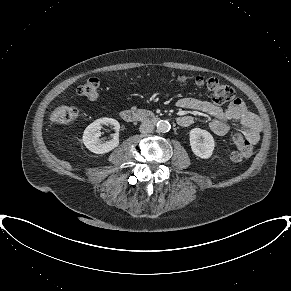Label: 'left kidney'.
<instances>
[{
    "instance_id": "1",
    "label": "left kidney",
    "mask_w": 291,
    "mask_h": 291,
    "mask_svg": "<svg viewBox=\"0 0 291 291\" xmlns=\"http://www.w3.org/2000/svg\"><path fill=\"white\" fill-rule=\"evenodd\" d=\"M189 141L192 152L202 159H208L212 156L215 141L213 136L206 130L194 128L189 133Z\"/></svg>"
}]
</instances>
